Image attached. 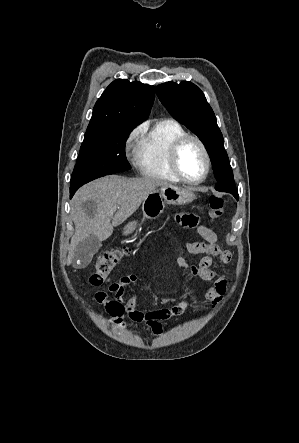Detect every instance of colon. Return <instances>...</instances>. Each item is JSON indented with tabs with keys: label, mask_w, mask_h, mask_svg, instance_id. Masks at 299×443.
Segmentation results:
<instances>
[{
	"label": "colon",
	"mask_w": 299,
	"mask_h": 443,
	"mask_svg": "<svg viewBox=\"0 0 299 443\" xmlns=\"http://www.w3.org/2000/svg\"><path fill=\"white\" fill-rule=\"evenodd\" d=\"M224 201L220 196L213 195L209 200V215L217 219L223 214ZM129 254L126 247H117L104 250L97 259L95 270L90 277V283L95 286L107 282L110 273L119 262Z\"/></svg>",
	"instance_id": "obj_1"
}]
</instances>
